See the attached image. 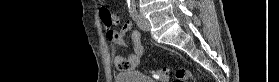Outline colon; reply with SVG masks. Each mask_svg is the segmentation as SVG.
Instances as JSON below:
<instances>
[{"instance_id":"colon-1","label":"colon","mask_w":279,"mask_h":82,"mask_svg":"<svg viewBox=\"0 0 279 82\" xmlns=\"http://www.w3.org/2000/svg\"><path fill=\"white\" fill-rule=\"evenodd\" d=\"M100 17L107 29H111L114 25V20L106 8L100 9ZM169 70L166 67L153 70L151 72L152 79L155 82H164L167 80ZM192 80V74L188 69H179L176 73L175 82H190Z\"/></svg>"}]
</instances>
